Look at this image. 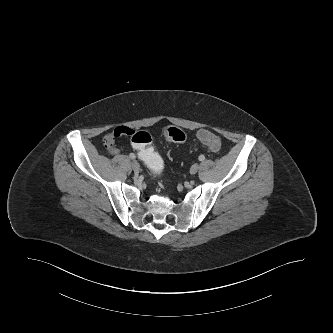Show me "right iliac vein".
Listing matches in <instances>:
<instances>
[{
  "label": "right iliac vein",
  "mask_w": 333,
  "mask_h": 333,
  "mask_svg": "<svg viewBox=\"0 0 333 333\" xmlns=\"http://www.w3.org/2000/svg\"><path fill=\"white\" fill-rule=\"evenodd\" d=\"M131 166H132V169H133L135 172H138V171L140 170V165H139V163H138L137 161H135V160L131 163Z\"/></svg>",
  "instance_id": "right-iliac-vein-1"
}]
</instances>
